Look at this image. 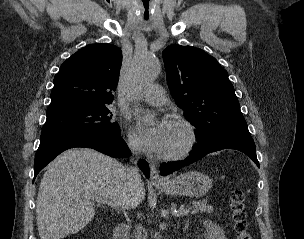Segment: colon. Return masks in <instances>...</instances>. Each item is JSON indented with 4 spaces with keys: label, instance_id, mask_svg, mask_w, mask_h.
<instances>
[{
    "label": "colon",
    "instance_id": "colon-1",
    "mask_svg": "<svg viewBox=\"0 0 304 239\" xmlns=\"http://www.w3.org/2000/svg\"><path fill=\"white\" fill-rule=\"evenodd\" d=\"M230 211L234 224L236 239H252L247 224L245 208V193L241 189H235L230 195Z\"/></svg>",
    "mask_w": 304,
    "mask_h": 239
}]
</instances>
